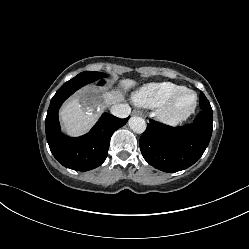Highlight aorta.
Instances as JSON below:
<instances>
[{"label":"aorta","mask_w":249,"mask_h":249,"mask_svg":"<svg viewBox=\"0 0 249 249\" xmlns=\"http://www.w3.org/2000/svg\"><path fill=\"white\" fill-rule=\"evenodd\" d=\"M129 127L138 134L143 133L146 130V122L143 118L134 116L129 119Z\"/></svg>","instance_id":"aorta-1"}]
</instances>
